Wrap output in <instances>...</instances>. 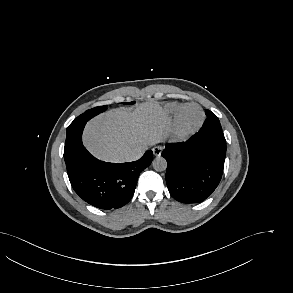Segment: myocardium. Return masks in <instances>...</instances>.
<instances>
[{
	"label": "myocardium",
	"instance_id": "myocardium-1",
	"mask_svg": "<svg viewBox=\"0 0 293 293\" xmlns=\"http://www.w3.org/2000/svg\"><path fill=\"white\" fill-rule=\"evenodd\" d=\"M189 107H196L197 109H199L200 113H201V118L199 120V122L194 125V126H186L183 122V113L184 111L189 108ZM205 121V112L203 111V109L195 103H188V104H183L181 105L176 114H175V119H174V135L177 139L179 140H185L190 138L192 135H194L195 133H197L200 128L203 126Z\"/></svg>",
	"mask_w": 293,
	"mask_h": 293
}]
</instances>
